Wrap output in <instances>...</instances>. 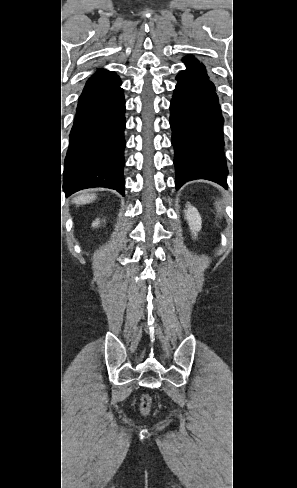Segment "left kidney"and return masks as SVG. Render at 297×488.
I'll return each mask as SVG.
<instances>
[{"instance_id":"left-kidney-1","label":"left kidney","mask_w":297,"mask_h":488,"mask_svg":"<svg viewBox=\"0 0 297 488\" xmlns=\"http://www.w3.org/2000/svg\"><path fill=\"white\" fill-rule=\"evenodd\" d=\"M186 207L187 209L185 210V216L188 221L189 227L192 230L194 236H197V232L201 229V216L198 210L191 204H188Z\"/></svg>"}]
</instances>
